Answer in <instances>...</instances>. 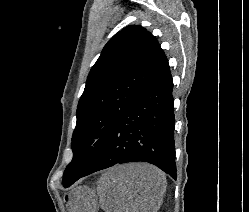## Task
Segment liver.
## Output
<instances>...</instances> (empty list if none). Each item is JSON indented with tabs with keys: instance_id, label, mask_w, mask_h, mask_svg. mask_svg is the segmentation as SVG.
I'll list each match as a JSON object with an SVG mask.
<instances>
[{
	"instance_id": "obj_1",
	"label": "liver",
	"mask_w": 249,
	"mask_h": 212,
	"mask_svg": "<svg viewBox=\"0 0 249 212\" xmlns=\"http://www.w3.org/2000/svg\"><path fill=\"white\" fill-rule=\"evenodd\" d=\"M166 178L155 166L134 162L109 168L98 182L104 212H158Z\"/></svg>"
}]
</instances>
